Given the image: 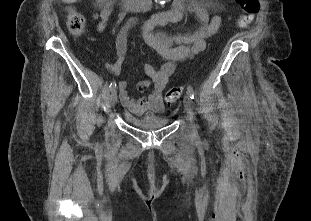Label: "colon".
I'll return each instance as SVG.
<instances>
[{
	"instance_id": "obj_1",
	"label": "colon",
	"mask_w": 311,
	"mask_h": 221,
	"mask_svg": "<svg viewBox=\"0 0 311 221\" xmlns=\"http://www.w3.org/2000/svg\"><path fill=\"white\" fill-rule=\"evenodd\" d=\"M242 6V13L239 15L237 23L239 27H246L254 20L260 9V0H238ZM66 26L75 36H80L86 29V19L82 13L72 7L66 10ZM181 94L180 87H171L165 93V102L171 104L176 102Z\"/></svg>"
}]
</instances>
